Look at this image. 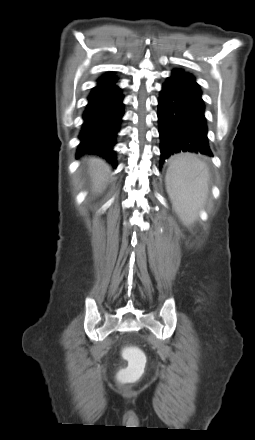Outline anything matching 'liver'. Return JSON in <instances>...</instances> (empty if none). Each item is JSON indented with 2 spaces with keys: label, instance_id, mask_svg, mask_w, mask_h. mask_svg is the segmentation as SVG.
I'll use <instances>...</instances> for the list:
<instances>
[{
  "label": "liver",
  "instance_id": "obj_1",
  "mask_svg": "<svg viewBox=\"0 0 255 440\" xmlns=\"http://www.w3.org/2000/svg\"><path fill=\"white\" fill-rule=\"evenodd\" d=\"M88 166L92 179V190L101 192L108 181L110 166L104 160L96 157L89 159Z\"/></svg>",
  "mask_w": 255,
  "mask_h": 440
}]
</instances>
